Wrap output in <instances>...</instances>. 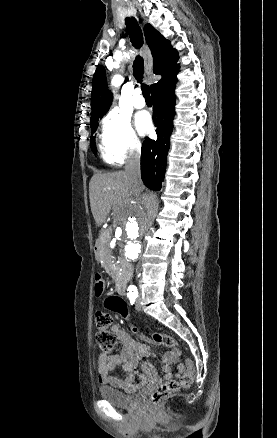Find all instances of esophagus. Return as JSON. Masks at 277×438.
<instances>
[{
	"label": "esophagus",
	"mask_w": 277,
	"mask_h": 438,
	"mask_svg": "<svg viewBox=\"0 0 277 438\" xmlns=\"http://www.w3.org/2000/svg\"><path fill=\"white\" fill-rule=\"evenodd\" d=\"M149 56H150V50H149V48L147 46H144V49H143V57H144V59H147Z\"/></svg>",
	"instance_id": "obj_1"
}]
</instances>
